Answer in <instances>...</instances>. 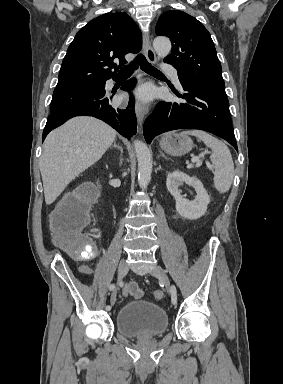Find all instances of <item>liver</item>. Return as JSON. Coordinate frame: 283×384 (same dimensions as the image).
<instances>
[{"label":"liver","mask_w":283,"mask_h":384,"mask_svg":"<svg viewBox=\"0 0 283 384\" xmlns=\"http://www.w3.org/2000/svg\"><path fill=\"white\" fill-rule=\"evenodd\" d=\"M116 134L108 124L86 116L72 118L48 134L39 164L47 206L81 172L102 158Z\"/></svg>","instance_id":"liver-1"}]
</instances>
